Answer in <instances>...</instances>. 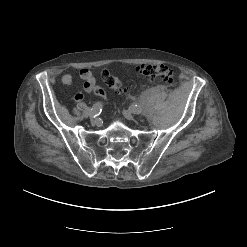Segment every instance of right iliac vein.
<instances>
[{"mask_svg":"<svg viewBox=\"0 0 247 247\" xmlns=\"http://www.w3.org/2000/svg\"><path fill=\"white\" fill-rule=\"evenodd\" d=\"M89 117L92 121H97V119L94 117V115L90 112Z\"/></svg>","mask_w":247,"mask_h":247,"instance_id":"63e3f726","label":"right iliac vein"}]
</instances>
